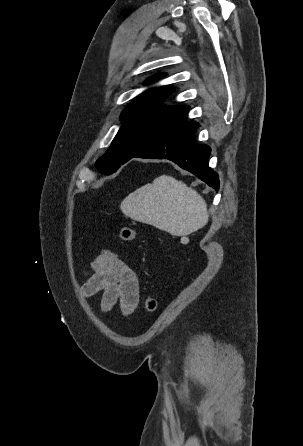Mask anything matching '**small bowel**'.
Instances as JSON below:
<instances>
[{
    "label": "small bowel",
    "instance_id": "c3829d8e",
    "mask_svg": "<svg viewBox=\"0 0 303 446\" xmlns=\"http://www.w3.org/2000/svg\"><path fill=\"white\" fill-rule=\"evenodd\" d=\"M91 270L83 286L86 296L102 292L103 310H110L116 304L124 314L135 310L139 302V280L130 263L116 253L104 250L92 260Z\"/></svg>",
    "mask_w": 303,
    "mask_h": 446
}]
</instances>
